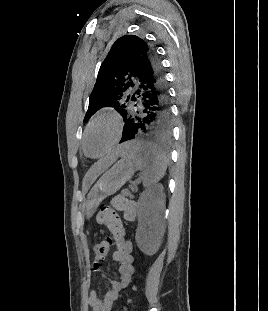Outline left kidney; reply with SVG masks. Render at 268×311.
I'll list each match as a JSON object with an SVG mask.
<instances>
[{"label":"left kidney","instance_id":"obj_1","mask_svg":"<svg viewBox=\"0 0 268 311\" xmlns=\"http://www.w3.org/2000/svg\"><path fill=\"white\" fill-rule=\"evenodd\" d=\"M137 208L136 243L144 254L152 256L158 251L164 235L163 186L158 184L145 191L140 197Z\"/></svg>","mask_w":268,"mask_h":311}]
</instances>
